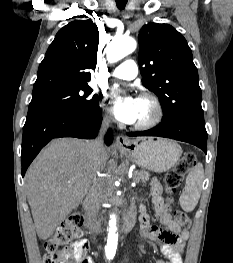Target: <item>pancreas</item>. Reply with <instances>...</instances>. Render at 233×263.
Instances as JSON below:
<instances>
[{
  "instance_id": "obj_1",
  "label": "pancreas",
  "mask_w": 233,
  "mask_h": 263,
  "mask_svg": "<svg viewBox=\"0 0 233 263\" xmlns=\"http://www.w3.org/2000/svg\"><path fill=\"white\" fill-rule=\"evenodd\" d=\"M150 177L151 175L149 174V172L143 170H136L133 173V178L136 183L138 182L146 183L147 181H149Z\"/></svg>"
}]
</instances>
